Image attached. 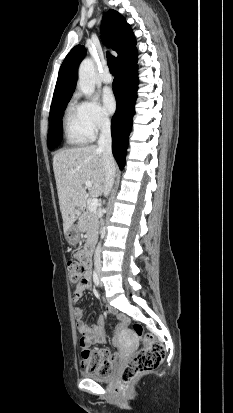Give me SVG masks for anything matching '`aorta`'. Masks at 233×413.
<instances>
[{"label":"aorta","instance_id":"762f6f07","mask_svg":"<svg viewBox=\"0 0 233 413\" xmlns=\"http://www.w3.org/2000/svg\"><path fill=\"white\" fill-rule=\"evenodd\" d=\"M77 85L85 95H93L95 91V68L92 59L86 58L81 62Z\"/></svg>","mask_w":233,"mask_h":413}]
</instances>
